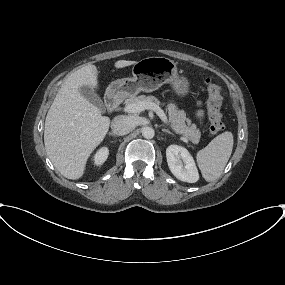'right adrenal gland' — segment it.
<instances>
[{"label": "right adrenal gland", "instance_id": "1", "mask_svg": "<svg viewBox=\"0 0 285 285\" xmlns=\"http://www.w3.org/2000/svg\"><path fill=\"white\" fill-rule=\"evenodd\" d=\"M108 135H109V136H113V137H115V134H114V133H112V132H109V133H108Z\"/></svg>", "mask_w": 285, "mask_h": 285}]
</instances>
